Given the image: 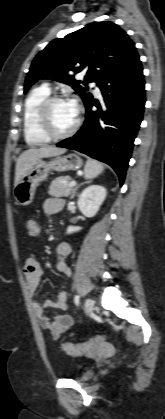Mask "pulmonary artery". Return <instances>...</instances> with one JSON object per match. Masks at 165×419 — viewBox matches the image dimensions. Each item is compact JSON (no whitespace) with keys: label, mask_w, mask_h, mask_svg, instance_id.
I'll use <instances>...</instances> for the list:
<instances>
[{"label":"pulmonary artery","mask_w":165,"mask_h":419,"mask_svg":"<svg viewBox=\"0 0 165 419\" xmlns=\"http://www.w3.org/2000/svg\"><path fill=\"white\" fill-rule=\"evenodd\" d=\"M91 85L94 87L96 95H100L101 90H100V87L98 86L97 82H93Z\"/></svg>","instance_id":"pulmonary-artery-1"}]
</instances>
